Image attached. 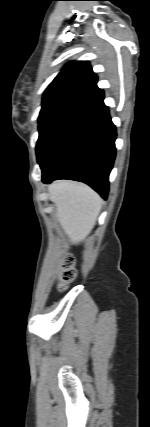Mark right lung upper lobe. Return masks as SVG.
I'll return each mask as SVG.
<instances>
[{
	"label": "right lung upper lobe",
	"mask_w": 150,
	"mask_h": 427,
	"mask_svg": "<svg viewBox=\"0 0 150 427\" xmlns=\"http://www.w3.org/2000/svg\"><path fill=\"white\" fill-rule=\"evenodd\" d=\"M88 61L67 64L43 94L42 110L55 107L82 110L104 96Z\"/></svg>",
	"instance_id": "obj_1"
}]
</instances>
